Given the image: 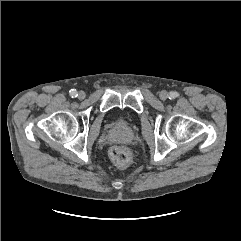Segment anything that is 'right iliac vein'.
I'll return each mask as SVG.
<instances>
[{
	"mask_svg": "<svg viewBox=\"0 0 241 241\" xmlns=\"http://www.w3.org/2000/svg\"><path fill=\"white\" fill-rule=\"evenodd\" d=\"M78 98L81 99V100L84 99L85 98V92L79 91L78 92Z\"/></svg>",
	"mask_w": 241,
	"mask_h": 241,
	"instance_id": "63e3f726",
	"label": "right iliac vein"
}]
</instances>
